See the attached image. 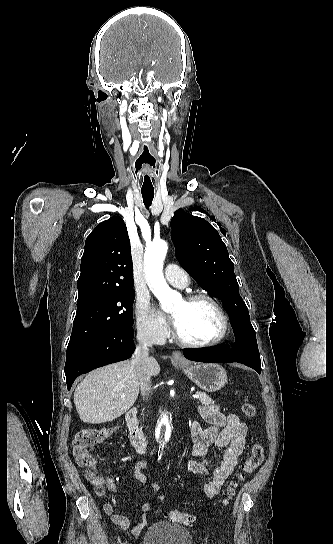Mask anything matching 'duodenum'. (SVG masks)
Returning a JSON list of instances; mask_svg holds the SVG:
<instances>
[{
	"label": "duodenum",
	"instance_id": "obj_1",
	"mask_svg": "<svg viewBox=\"0 0 333 544\" xmlns=\"http://www.w3.org/2000/svg\"><path fill=\"white\" fill-rule=\"evenodd\" d=\"M126 425L129 434V440L136 452L144 454L149 448V439L145 436L139 426L137 418V409L131 408L125 415Z\"/></svg>",
	"mask_w": 333,
	"mask_h": 544
}]
</instances>
